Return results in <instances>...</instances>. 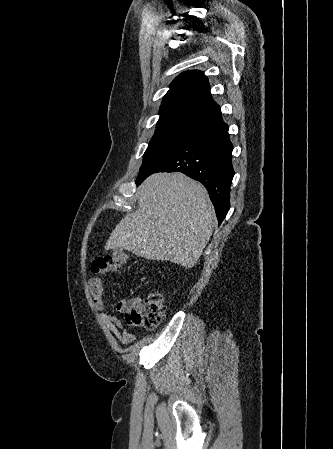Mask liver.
<instances>
[{
	"mask_svg": "<svg viewBox=\"0 0 333 449\" xmlns=\"http://www.w3.org/2000/svg\"><path fill=\"white\" fill-rule=\"evenodd\" d=\"M137 195L138 209L116 225L105 248L192 268L216 225L204 186L183 173H156Z\"/></svg>",
	"mask_w": 333,
	"mask_h": 449,
	"instance_id": "6515ba94",
	"label": "liver"
}]
</instances>
